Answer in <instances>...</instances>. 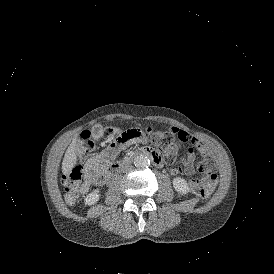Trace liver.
Returning <instances> with one entry per match:
<instances>
[{
    "label": "liver",
    "mask_w": 274,
    "mask_h": 274,
    "mask_svg": "<svg viewBox=\"0 0 274 274\" xmlns=\"http://www.w3.org/2000/svg\"><path fill=\"white\" fill-rule=\"evenodd\" d=\"M77 137L73 138L71 144L67 148L62 162V173L68 175L74 168L77 161L76 154Z\"/></svg>",
    "instance_id": "6515ba94"
}]
</instances>
